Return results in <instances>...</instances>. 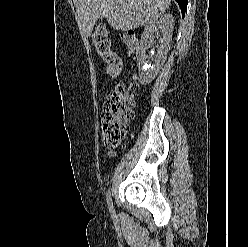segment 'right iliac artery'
<instances>
[{
	"instance_id": "obj_1",
	"label": "right iliac artery",
	"mask_w": 248,
	"mask_h": 247,
	"mask_svg": "<svg viewBox=\"0 0 248 247\" xmlns=\"http://www.w3.org/2000/svg\"><path fill=\"white\" fill-rule=\"evenodd\" d=\"M107 205H108L110 213L112 215H114V208H113V204H112V198H111L110 190H108V194H107Z\"/></svg>"
}]
</instances>
